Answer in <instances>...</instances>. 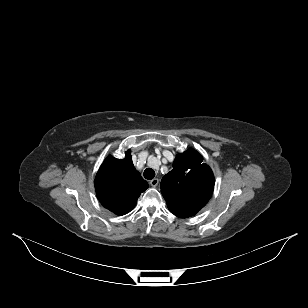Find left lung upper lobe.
I'll use <instances>...</instances> for the list:
<instances>
[{
    "label": "left lung upper lobe",
    "instance_id": "1",
    "mask_svg": "<svg viewBox=\"0 0 308 308\" xmlns=\"http://www.w3.org/2000/svg\"><path fill=\"white\" fill-rule=\"evenodd\" d=\"M160 187L169 210L177 217L187 218L211 198L214 177L202 156L190 148L176 156L173 170L162 178Z\"/></svg>",
    "mask_w": 308,
    "mask_h": 308
}]
</instances>
